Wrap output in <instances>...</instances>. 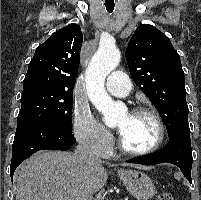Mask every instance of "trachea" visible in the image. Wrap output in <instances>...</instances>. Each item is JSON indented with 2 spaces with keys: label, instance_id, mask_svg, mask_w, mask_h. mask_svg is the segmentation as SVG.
Segmentation results:
<instances>
[{
  "label": "trachea",
  "instance_id": "3493384b",
  "mask_svg": "<svg viewBox=\"0 0 201 200\" xmlns=\"http://www.w3.org/2000/svg\"><path fill=\"white\" fill-rule=\"evenodd\" d=\"M106 10L108 13H112L114 10V5L113 6L106 5Z\"/></svg>",
  "mask_w": 201,
  "mask_h": 200
}]
</instances>
